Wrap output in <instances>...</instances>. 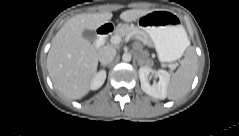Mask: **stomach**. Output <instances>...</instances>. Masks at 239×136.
Listing matches in <instances>:
<instances>
[{"mask_svg":"<svg viewBox=\"0 0 239 136\" xmlns=\"http://www.w3.org/2000/svg\"><path fill=\"white\" fill-rule=\"evenodd\" d=\"M138 27L153 43L162 62L178 60L187 48V34L171 12L151 11L138 19Z\"/></svg>","mask_w":239,"mask_h":136,"instance_id":"stomach-1","label":"stomach"}]
</instances>
